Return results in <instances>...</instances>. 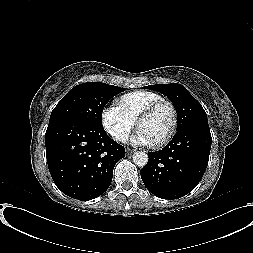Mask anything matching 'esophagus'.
<instances>
[{"label":"esophagus","instance_id":"esophagus-1","mask_svg":"<svg viewBox=\"0 0 253 253\" xmlns=\"http://www.w3.org/2000/svg\"><path fill=\"white\" fill-rule=\"evenodd\" d=\"M134 151H135V150L130 149V148H127V149H126V153H127L128 155H131Z\"/></svg>","mask_w":253,"mask_h":253}]
</instances>
